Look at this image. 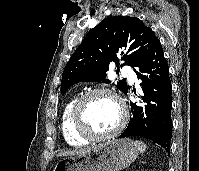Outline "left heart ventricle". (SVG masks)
<instances>
[{
  "label": "left heart ventricle",
  "mask_w": 199,
  "mask_h": 171,
  "mask_svg": "<svg viewBox=\"0 0 199 171\" xmlns=\"http://www.w3.org/2000/svg\"><path fill=\"white\" fill-rule=\"evenodd\" d=\"M85 116L90 129L95 133L103 134L118 125L121 112L112 97L101 94L93 96L87 101Z\"/></svg>",
  "instance_id": "b2bd125f"
}]
</instances>
